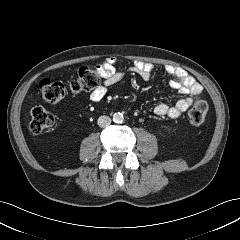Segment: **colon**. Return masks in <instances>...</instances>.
Here are the masks:
<instances>
[{"label":"colon","instance_id":"1","mask_svg":"<svg viewBox=\"0 0 240 240\" xmlns=\"http://www.w3.org/2000/svg\"><path fill=\"white\" fill-rule=\"evenodd\" d=\"M100 85L99 72L90 66L81 67L76 76L67 81L43 79L39 90L42 98L49 103H56L69 92L78 94L89 92ZM207 103L202 97H197L189 111V120L199 126L204 123L207 115ZM55 117L45 108L36 106L31 110L29 128L34 133H40L54 126Z\"/></svg>","mask_w":240,"mask_h":240}]
</instances>
